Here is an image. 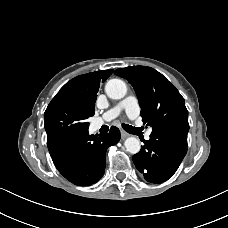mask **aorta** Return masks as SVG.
<instances>
[{
    "label": "aorta",
    "mask_w": 228,
    "mask_h": 228,
    "mask_svg": "<svg viewBox=\"0 0 228 228\" xmlns=\"http://www.w3.org/2000/svg\"><path fill=\"white\" fill-rule=\"evenodd\" d=\"M105 92L111 99H122L127 92V87L124 81L120 79H111L106 83ZM126 150L131 154H137L141 149L139 139L129 137L124 142Z\"/></svg>",
    "instance_id": "762f6f07"
}]
</instances>
